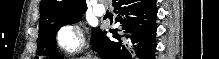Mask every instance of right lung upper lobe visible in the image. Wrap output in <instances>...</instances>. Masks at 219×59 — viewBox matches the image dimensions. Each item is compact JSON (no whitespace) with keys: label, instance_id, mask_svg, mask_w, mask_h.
<instances>
[{"label":"right lung upper lobe","instance_id":"1","mask_svg":"<svg viewBox=\"0 0 219 59\" xmlns=\"http://www.w3.org/2000/svg\"><path fill=\"white\" fill-rule=\"evenodd\" d=\"M86 9L85 0H42L39 28L54 21L81 15Z\"/></svg>","mask_w":219,"mask_h":59}]
</instances>
